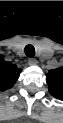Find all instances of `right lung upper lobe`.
I'll return each mask as SVG.
<instances>
[{
  "label": "right lung upper lobe",
  "instance_id": "right-lung-upper-lobe-1",
  "mask_svg": "<svg viewBox=\"0 0 63 123\" xmlns=\"http://www.w3.org/2000/svg\"><path fill=\"white\" fill-rule=\"evenodd\" d=\"M21 73V69L14 64L1 59L0 62V89L6 90L11 88Z\"/></svg>",
  "mask_w": 63,
  "mask_h": 123
}]
</instances>
